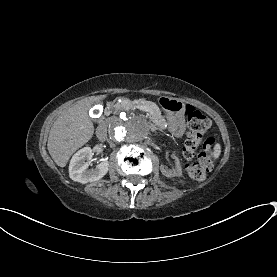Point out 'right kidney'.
<instances>
[{"instance_id": "right-kidney-1", "label": "right kidney", "mask_w": 277, "mask_h": 277, "mask_svg": "<svg viewBox=\"0 0 277 277\" xmlns=\"http://www.w3.org/2000/svg\"><path fill=\"white\" fill-rule=\"evenodd\" d=\"M92 155V149L90 147H84L72 156L69 164V177L73 181L85 184L97 181L107 174L109 166L107 160L99 163L93 169L88 168Z\"/></svg>"}]
</instances>
